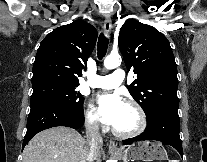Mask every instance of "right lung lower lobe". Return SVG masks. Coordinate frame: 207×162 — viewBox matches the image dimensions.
<instances>
[{"mask_svg":"<svg viewBox=\"0 0 207 162\" xmlns=\"http://www.w3.org/2000/svg\"><path fill=\"white\" fill-rule=\"evenodd\" d=\"M30 106L23 147L42 130L56 126L78 129L84 124L83 110L73 109L56 101H38L31 103Z\"/></svg>","mask_w":207,"mask_h":162,"instance_id":"right-lung-lower-lobe-1","label":"right lung lower lobe"}]
</instances>
